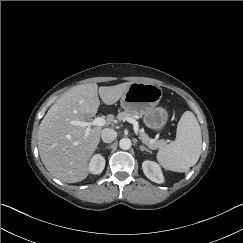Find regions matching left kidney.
I'll use <instances>...</instances> for the list:
<instances>
[{"label":"left kidney","instance_id":"left-kidney-1","mask_svg":"<svg viewBox=\"0 0 243 243\" xmlns=\"http://www.w3.org/2000/svg\"><path fill=\"white\" fill-rule=\"evenodd\" d=\"M142 169L145 176L155 183H163L164 177L159 165L156 162L146 160L142 163Z\"/></svg>","mask_w":243,"mask_h":243}]
</instances>
